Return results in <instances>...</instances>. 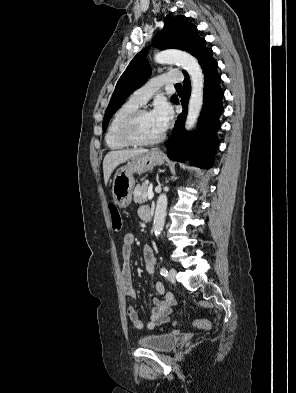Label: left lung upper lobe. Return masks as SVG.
<instances>
[{"label": "left lung upper lobe", "mask_w": 296, "mask_h": 393, "mask_svg": "<svg viewBox=\"0 0 296 393\" xmlns=\"http://www.w3.org/2000/svg\"><path fill=\"white\" fill-rule=\"evenodd\" d=\"M164 28L155 36L154 43L158 48H176L187 51L195 56L199 63L208 55L211 49L205 46V39L198 36L197 28L188 23L185 16L167 15L164 20ZM146 51L139 52L130 62L125 72L117 82L113 96L106 109L103 120V131L106 130L111 115L122 106L126 98L136 89L141 87L150 75V67L145 62ZM186 75L187 72L183 71ZM178 98L172 96V101Z\"/></svg>", "instance_id": "1"}]
</instances>
